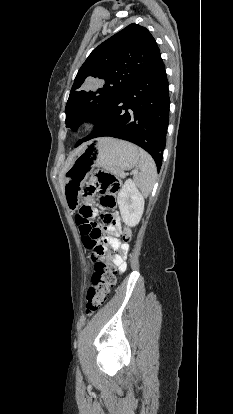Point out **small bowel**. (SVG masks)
Listing matches in <instances>:
<instances>
[{
    "instance_id": "obj_1",
    "label": "small bowel",
    "mask_w": 233,
    "mask_h": 414,
    "mask_svg": "<svg viewBox=\"0 0 233 414\" xmlns=\"http://www.w3.org/2000/svg\"><path fill=\"white\" fill-rule=\"evenodd\" d=\"M90 202L91 200H89L88 207L91 211V217H94L96 215V211L90 206ZM103 220L106 223L103 228V233L110 236L109 240L112 246L118 251V253H116L113 257L108 258V260L111 261L115 267H117L120 273H123L127 268L126 252L128 247L123 246L122 242L118 239V237L122 234L121 220L117 213L106 214L103 216Z\"/></svg>"
}]
</instances>
